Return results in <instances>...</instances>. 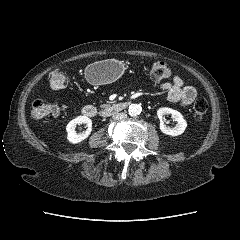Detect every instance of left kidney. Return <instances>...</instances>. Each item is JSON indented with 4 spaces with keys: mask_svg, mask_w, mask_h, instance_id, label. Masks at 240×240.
<instances>
[{
    "mask_svg": "<svg viewBox=\"0 0 240 240\" xmlns=\"http://www.w3.org/2000/svg\"><path fill=\"white\" fill-rule=\"evenodd\" d=\"M166 114H171L172 118L175 121H177V124L175 127L170 128L164 124L163 116ZM157 116L160 119V130L166 135H170V136L181 135L187 127V122L183 118L182 114L180 112H178L177 110H174V109H171L168 107H163V108L158 109Z\"/></svg>",
    "mask_w": 240,
    "mask_h": 240,
    "instance_id": "1",
    "label": "left kidney"
}]
</instances>
